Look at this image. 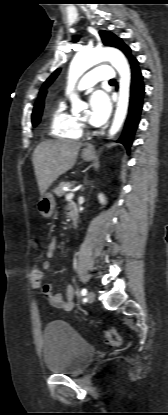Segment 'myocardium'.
<instances>
[{
    "label": "myocardium",
    "instance_id": "f54148a6",
    "mask_svg": "<svg viewBox=\"0 0 168 415\" xmlns=\"http://www.w3.org/2000/svg\"><path fill=\"white\" fill-rule=\"evenodd\" d=\"M78 122H79L81 128L86 129V130L89 129L88 126H87L86 120H82V119L79 118Z\"/></svg>",
    "mask_w": 168,
    "mask_h": 415
}]
</instances>
